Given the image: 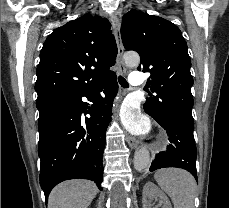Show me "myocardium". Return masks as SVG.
I'll return each instance as SVG.
<instances>
[{
  "label": "myocardium",
  "instance_id": "1",
  "mask_svg": "<svg viewBox=\"0 0 229 208\" xmlns=\"http://www.w3.org/2000/svg\"><path fill=\"white\" fill-rule=\"evenodd\" d=\"M167 142V139L165 137H161L158 141H157V146L161 147L164 146Z\"/></svg>",
  "mask_w": 229,
  "mask_h": 208
}]
</instances>
